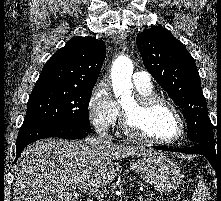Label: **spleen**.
<instances>
[{
	"label": "spleen",
	"instance_id": "3e777b00",
	"mask_svg": "<svg viewBox=\"0 0 221 201\" xmlns=\"http://www.w3.org/2000/svg\"><path fill=\"white\" fill-rule=\"evenodd\" d=\"M191 201H210L208 187L201 178L198 181V187L195 189Z\"/></svg>",
	"mask_w": 221,
	"mask_h": 201
}]
</instances>
